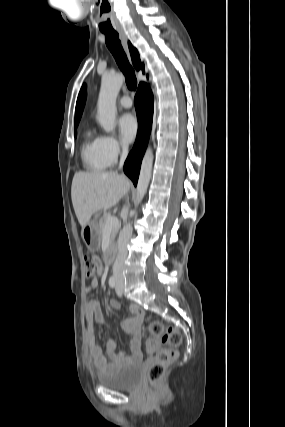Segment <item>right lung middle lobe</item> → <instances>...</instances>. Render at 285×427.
Returning a JSON list of instances; mask_svg holds the SVG:
<instances>
[{
    "label": "right lung middle lobe",
    "instance_id": "1",
    "mask_svg": "<svg viewBox=\"0 0 285 427\" xmlns=\"http://www.w3.org/2000/svg\"><path fill=\"white\" fill-rule=\"evenodd\" d=\"M76 134H77V131H76V128H75V137H76Z\"/></svg>",
    "mask_w": 285,
    "mask_h": 427
}]
</instances>
